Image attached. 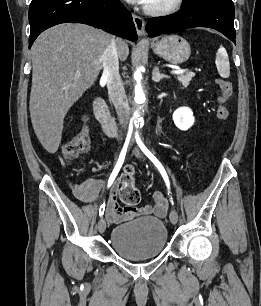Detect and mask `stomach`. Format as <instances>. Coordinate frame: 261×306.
I'll return each instance as SVG.
<instances>
[{
    "label": "stomach",
    "mask_w": 261,
    "mask_h": 306,
    "mask_svg": "<svg viewBox=\"0 0 261 306\" xmlns=\"http://www.w3.org/2000/svg\"><path fill=\"white\" fill-rule=\"evenodd\" d=\"M153 51L172 64H181L187 61L191 55L189 43L179 35H168L155 43Z\"/></svg>",
    "instance_id": "stomach-1"
}]
</instances>
